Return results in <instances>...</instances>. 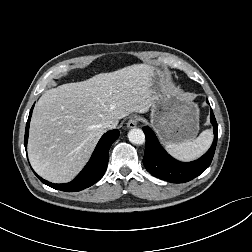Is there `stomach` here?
<instances>
[{"mask_svg": "<svg viewBox=\"0 0 252 252\" xmlns=\"http://www.w3.org/2000/svg\"><path fill=\"white\" fill-rule=\"evenodd\" d=\"M151 91V126L163 143L193 140L199 130V108L181 93L173 90L165 73L153 68Z\"/></svg>", "mask_w": 252, "mask_h": 252, "instance_id": "obj_1", "label": "stomach"}]
</instances>
